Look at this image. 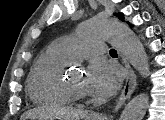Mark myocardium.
Segmentation results:
<instances>
[{
	"label": "myocardium",
	"mask_w": 165,
	"mask_h": 120,
	"mask_svg": "<svg viewBox=\"0 0 165 120\" xmlns=\"http://www.w3.org/2000/svg\"><path fill=\"white\" fill-rule=\"evenodd\" d=\"M65 88L71 98L77 100H89V95L87 93L74 87L68 80H65Z\"/></svg>",
	"instance_id": "1"
}]
</instances>
